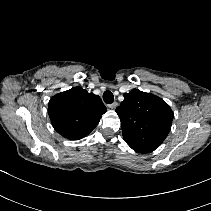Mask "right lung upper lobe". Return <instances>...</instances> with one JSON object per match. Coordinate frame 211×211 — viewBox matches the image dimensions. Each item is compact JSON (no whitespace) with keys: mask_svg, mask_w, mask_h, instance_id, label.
Instances as JSON below:
<instances>
[{"mask_svg":"<svg viewBox=\"0 0 211 211\" xmlns=\"http://www.w3.org/2000/svg\"><path fill=\"white\" fill-rule=\"evenodd\" d=\"M106 110L99 96L80 87L56 94L48 104L52 126L70 140H78L88 135Z\"/></svg>","mask_w":211,"mask_h":211,"instance_id":"1","label":"right lung upper lobe"}]
</instances>
